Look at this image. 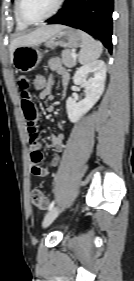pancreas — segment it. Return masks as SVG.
<instances>
[{
    "label": "pancreas",
    "mask_w": 134,
    "mask_h": 281,
    "mask_svg": "<svg viewBox=\"0 0 134 281\" xmlns=\"http://www.w3.org/2000/svg\"><path fill=\"white\" fill-rule=\"evenodd\" d=\"M62 63L69 68H72L76 65V59L72 57V51L71 50H63L62 51Z\"/></svg>",
    "instance_id": "1"
}]
</instances>
